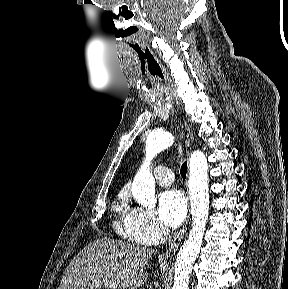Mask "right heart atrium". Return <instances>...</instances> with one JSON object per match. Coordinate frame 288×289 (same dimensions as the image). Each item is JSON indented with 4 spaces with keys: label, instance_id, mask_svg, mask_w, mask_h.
Masks as SVG:
<instances>
[{
    "label": "right heart atrium",
    "instance_id": "1",
    "mask_svg": "<svg viewBox=\"0 0 288 289\" xmlns=\"http://www.w3.org/2000/svg\"><path fill=\"white\" fill-rule=\"evenodd\" d=\"M124 233L134 242L150 245L162 242L167 230L151 211L133 207L124 220Z\"/></svg>",
    "mask_w": 288,
    "mask_h": 289
}]
</instances>
